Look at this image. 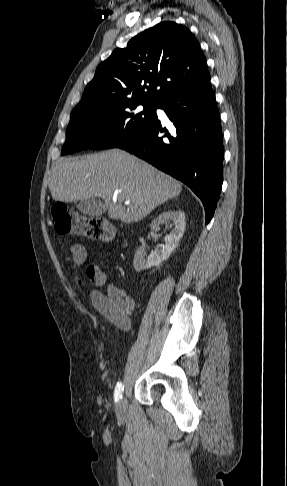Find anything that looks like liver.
<instances>
[{"label": "liver", "instance_id": "obj_1", "mask_svg": "<svg viewBox=\"0 0 287 486\" xmlns=\"http://www.w3.org/2000/svg\"><path fill=\"white\" fill-rule=\"evenodd\" d=\"M54 201L76 202L100 197L110 219L139 221L178 196L181 184L147 162L118 149L77 158H61L52 170ZM124 201H130L127 208Z\"/></svg>", "mask_w": 287, "mask_h": 486}]
</instances>
